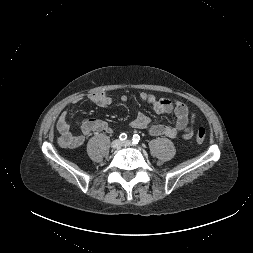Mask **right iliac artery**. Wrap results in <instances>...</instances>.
Returning <instances> with one entry per match:
<instances>
[{
    "instance_id": "82829eb1",
    "label": "right iliac artery",
    "mask_w": 253,
    "mask_h": 253,
    "mask_svg": "<svg viewBox=\"0 0 253 253\" xmlns=\"http://www.w3.org/2000/svg\"><path fill=\"white\" fill-rule=\"evenodd\" d=\"M119 139L122 140V141L126 140L127 139V134H125V133L120 134Z\"/></svg>"
}]
</instances>
